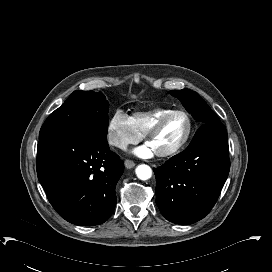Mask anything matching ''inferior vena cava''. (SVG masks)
<instances>
[{
	"label": "inferior vena cava",
	"instance_id": "1",
	"mask_svg": "<svg viewBox=\"0 0 272 272\" xmlns=\"http://www.w3.org/2000/svg\"><path fill=\"white\" fill-rule=\"evenodd\" d=\"M109 144L120 148L126 146V144L122 140L115 136L109 137Z\"/></svg>",
	"mask_w": 272,
	"mask_h": 272
}]
</instances>
